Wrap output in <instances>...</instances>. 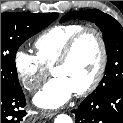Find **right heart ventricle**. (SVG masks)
<instances>
[{"mask_svg":"<svg viewBox=\"0 0 123 123\" xmlns=\"http://www.w3.org/2000/svg\"><path fill=\"white\" fill-rule=\"evenodd\" d=\"M85 26L79 23L55 25L44 31L34 42L36 56L47 68L60 57L67 41Z\"/></svg>","mask_w":123,"mask_h":123,"instance_id":"obj_1","label":"right heart ventricle"}]
</instances>
